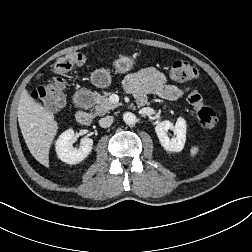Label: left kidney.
Masks as SVG:
<instances>
[{"label":"left kidney","mask_w":252,"mask_h":252,"mask_svg":"<svg viewBox=\"0 0 252 252\" xmlns=\"http://www.w3.org/2000/svg\"><path fill=\"white\" fill-rule=\"evenodd\" d=\"M186 121L180 117L177 119L175 126L172 122L165 120L158 123L155 132L162 147L170 152H180L183 150L186 141ZM168 130L174 132V137L168 136Z\"/></svg>","instance_id":"1"}]
</instances>
